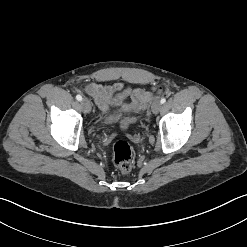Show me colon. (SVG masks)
Returning a JSON list of instances; mask_svg holds the SVG:
<instances>
[{
  "mask_svg": "<svg viewBox=\"0 0 247 247\" xmlns=\"http://www.w3.org/2000/svg\"><path fill=\"white\" fill-rule=\"evenodd\" d=\"M113 161L121 173L132 169L134 152L131 145L125 140H116L112 147Z\"/></svg>",
  "mask_w": 247,
  "mask_h": 247,
  "instance_id": "5ec220e1",
  "label": "colon"
}]
</instances>
